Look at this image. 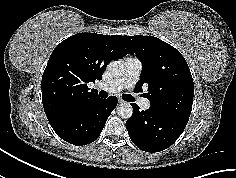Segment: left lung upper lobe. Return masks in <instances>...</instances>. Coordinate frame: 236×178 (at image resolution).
Instances as JSON below:
<instances>
[{"label":"left lung upper lobe","instance_id":"5c2ea615","mask_svg":"<svg viewBox=\"0 0 236 178\" xmlns=\"http://www.w3.org/2000/svg\"><path fill=\"white\" fill-rule=\"evenodd\" d=\"M143 68L136 89L149 85L146 96L152 107L190 117L194 83L182 54L153 36H126Z\"/></svg>","mask_w":236,"mask_h":178}]
</instances>
